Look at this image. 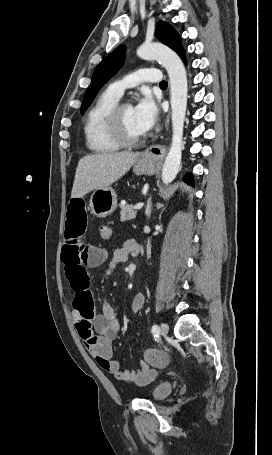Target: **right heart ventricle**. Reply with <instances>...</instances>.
Returning <instances> with one entry per match:
<instances>
[{
	"mask_svg": "<svg viewBox=\"0 0 272 455\" xmlns=\"http://www.w3.org/2000/svg\"><path fill=\"white\" fill-rule=\"evenodd\" d=\"M119 98V96L107 89L99 95L86 114L84 136L87 148L93 153H114L121 148L112 140L106 127L107 114L118 103Z\"/></svg>",
	"mask_w": 272,
	"mask_h": 455,
	"instance_id": "1",
	"label": "right heart ventricle"
}]
</instances>
